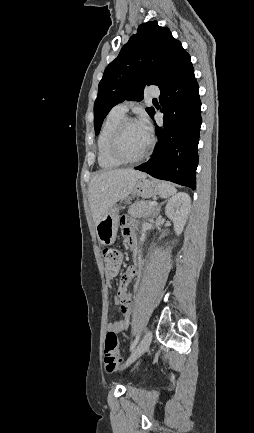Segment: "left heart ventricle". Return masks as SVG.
<instances>
[{
  "label": "left heart ventricle",
  "instance_id": "1",
  "mask_svg": "<svg viewBox=\"0 0 254 433\" xmlns=\"http://www.w3.org/2000/svg\"><path fill=\"white\" fill-rule=\"evenodd\" d=\"M149 135L145 134L137 122L128 123L120 138V149L128 158H135L148 144Z\"/></svg>",
  "mask_w": 254,
  "mask_h": 433
}]
</instances>
